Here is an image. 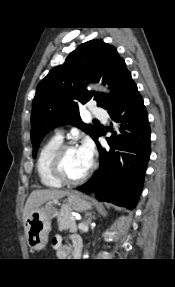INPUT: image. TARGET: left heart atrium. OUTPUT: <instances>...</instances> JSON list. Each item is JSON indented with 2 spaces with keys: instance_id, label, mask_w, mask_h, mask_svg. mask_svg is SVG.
I'll return each instance as SVG.
<instances>
[{
  "instance_id": "left-heart-atrium-1",
  "label": "left heart atrium",
  "mask_w": 175,
  "mask_h": 287,
  "mask_svg": "<svg viewBox=\"0 0 175 287\" xmlns=\"http://www.w3.org/2000/svg\"><path fill=\"white\" fill-rule=\"evenodd\" d=\"M81 153L85 156L89 163L93 160L94 148L93 144L90 140L86 139L82 142V144L78 147Z\"/></svg>"
}]
</instances>
